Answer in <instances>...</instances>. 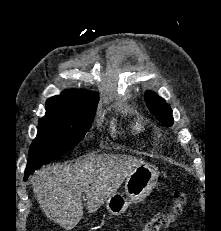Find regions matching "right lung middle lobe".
Masks as SVG:
<instances>
[{
  "instance_id": "1",
  "label": "right lung middle lobe",
  "mask_w": 221,
  "mask_h": 231,
  "mask_svg": "<svg viewBox=\"0 0 221 231\" xmlns=\"http://www.w3.org/2000/svg\"><path fill=\"white\" fill-rule=\"evenodd\" d=\"M97 106L77 113H47L39 120L26 170L38 169L72 150L91 127Z\"/></svg>"
}]
</instances>
